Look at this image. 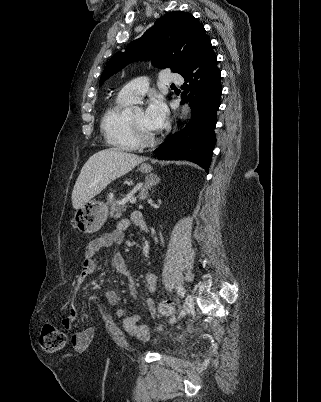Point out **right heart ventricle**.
Listing matches in <instances>:
<instances>
[{"mask_svg": "<svg viewBox=\"0 0 321 402\" xmlns=\"http://www.w3.org/2000/svg\"><path fill=\"white\" fill-rule=\"evenodd\" d=\"M129 104L117 98L106 108L100 123L107 144L121 151H134L139 147L127 127L124 109Z\"/></svg>", "mask_w": 321, "mask_h": 402, "instance_id": "obj_1", "label": "right heart ventricle"}]
</instances>
